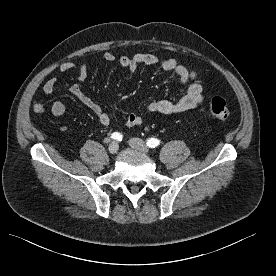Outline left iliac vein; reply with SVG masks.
<instances>
[{
    "label": "left iliac vein",
    "instance_id": "obj_1",
    "mask_svg": "<svg viewBox=\"0 0 276 276\" xmlns=\"http://www.w3.org/2000/svg\"><path fill=\"white\" fill-rule=\"evenodd\" d=\"M129 145L131 146V148L138 150L144 154H148L149 153V148L147 147V145L145 144V142L140 139V138H132L129 140Z\"/></svg>",
    "mask_w": 276,
    "mask_h": 276
}]
</instances>
